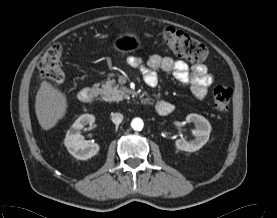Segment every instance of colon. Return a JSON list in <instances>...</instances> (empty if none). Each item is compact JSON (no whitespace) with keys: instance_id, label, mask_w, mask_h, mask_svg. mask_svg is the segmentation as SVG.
Here are the masks:
<instances>
[{"instance_id":"colon-1","label":"colon","mask_w":277,"mask_h":218,"mask_svg":"<svg viewBox=\"0 0 277 218\" xmlns=\"http://www.w3.org/2000/svg\"><path fill=\"white\" fill-rule=\"evenodd\" d=\"M163 43L176 55L191 62H202L208 56L206 46L188 34L167 28L161 34ZM63 47L60 43L52 44L41 57L38 68L43 79L54 84H61L65 79L62 67ZM232 89L225 85L216 86L213 90V105L219 111H225L231 101Z\"/></svg>"}]
</instances>
